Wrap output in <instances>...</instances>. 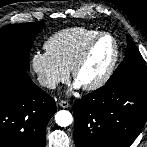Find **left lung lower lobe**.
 Returning <instances> with one entry per match:
<instances>
[{
    "instance_id": "left-lung-lower-lobe-1",
    "label": "left lung lower lobe",
    "mask_w": 147,
    "mask_h": 147,
    "mask_svg": "<svg viewBox=\"0 0 147 147\" xmlns=\"http://www.w3.org/2000/svg\"><path fill=\"white\" fill-rule=\"evenodd\" d=\"M73 115L77 147H129L147 118V81L106 84L78 100Z\"/></svg>"
}]
</instances>
